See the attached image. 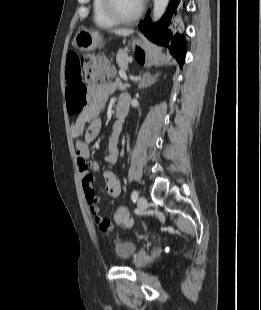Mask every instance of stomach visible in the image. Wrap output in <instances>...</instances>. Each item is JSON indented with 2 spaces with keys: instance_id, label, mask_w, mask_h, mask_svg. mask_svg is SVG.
<instances>
[{
  "instance_id": "obj_1",
  "label": "stomach",
  "mask_w": 261,
  "mask_h": 310,
  "mask_svg": "<svg viewBox=\"0 0 261 310\" xmlns=\"http://www.w3.org/2000/svg\"><path fill=\"white\" fill-rule=\"evenodd\" d=\"M74 45L83 52H90L100 49L103 46V37L97 31L80 30L74 38ZM136 58L146 66L162 65L166 59L161 49L156 47H148L141 41H133L132 43Z\"/></svg>"
}]
</instances>
